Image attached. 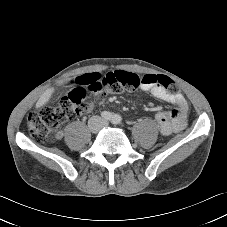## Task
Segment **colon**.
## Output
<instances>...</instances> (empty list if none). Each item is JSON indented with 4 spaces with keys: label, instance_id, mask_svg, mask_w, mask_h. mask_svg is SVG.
I'll return each instance as SVG.
<instances>
[{
    "label": "colon",
    "instance_id": "5ec220e1",
    "mask_svg": "<svg viewBox=\"0 0 227 227\" xmlns=\"http://www.w3.org/2000/svg\"><path fill=\"white\" fill-rule=\"evenodd\" d=\"M160 85L169 93H178L177 84L164 75H139L127 71H114L105 74L103 81L93 82L82 87H74L56 106L44 107L31 113L27 125L31 136L38 142H46L49 136L63 123L77 118L87 109V92L119 94L138 89L141 85Z\"/></svg>",
    "mask_w": 227,
    "mask_h": 227
}]
</instances>
